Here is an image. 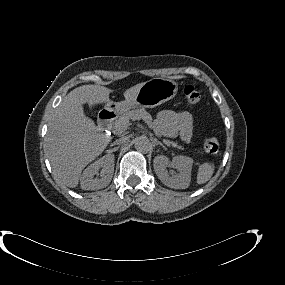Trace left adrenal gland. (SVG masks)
Returning a JSON list of instances; mask_svg holds the SVG:
<instances>
[{"mask_svg": "<svg viewBox=\"0 0 285 285\" xmlns=\"http://www.w3.org/2000/svg\"><path fill=\"white\" fill-rule=\"evenodd\" d=\"M155 144L162 146L163 148H165V146L158 140L155 139Z\"/></svg>", "mask_w": 285, "mask_h": 285, "instance_id": "left-adrenal-gland-1", "label": "left adrenal gland"}]
</instances>
